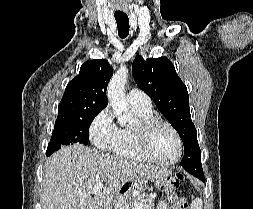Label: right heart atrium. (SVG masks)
Here are the masks:
<instances>
[{
    "label": "right heart atrium",
    "instance_id": "right-heart-atrium-1",
    "mask_svg": "<svg viewBox=\"0 0 253 209\" xmlns=\"http://www.w3.org/2000/svg\"><path fill=\"white\" fill-rule=\"evenodd\" d=\"M89 137L97 149L103 151L115 149L120 139V129L108 109H103L94 117L89 127Z\"/></svg>",
    "mask_w": 253,
    "mask_h": 209
}]
</instances>
